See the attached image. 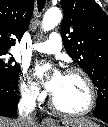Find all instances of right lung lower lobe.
<instances>
[{"label": "right lung lower lobe", "instance_id": "right-lung-lower-lobe-1", "mask_svg": "<svg viewBox=\"0 0 108 127\" xmlns=\"http://www.w3.org/2000/svg\"><path fill=\"white\" fill-rule=\"evenodd\" d=\"M18 100L17 79L7 80L0 77V116H14Z\"/></svg>", "mask_w": 108, "mask_h": 127}]
</instances>
